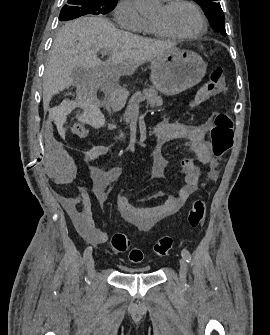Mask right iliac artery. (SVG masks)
Returning a JSON list of instances; mask_svg holds the SVG:
<instances>
[{
  "label": "right iliac artery",
  "instance_id": "82829eb1",
  "mask_svg": "<svg viewBox=\"0 0 270 335\" xmlns=\"http://www.w3.org/2000/svg\"><path fill=\"white\" fill-rule=\"evenodd\" d=\"M92 254V247L88 246L84 251V259H88Z\"/></svg>",
  "mask_w": 270,
  "mask_h": 335
}]
</instances>
